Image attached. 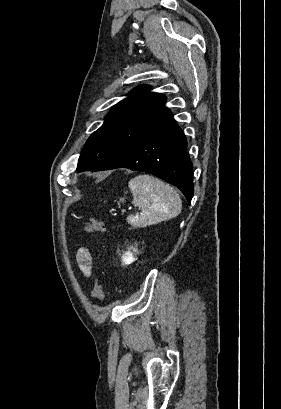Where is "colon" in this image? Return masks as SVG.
I'll use <instances>...</instances> for the list:
<instances>
[{
  "instance_id": "1",
  "label": "colon",
  "mask_w": 281,
  "mask_h": 409,
  "mask_svg": "<svg viewBox=\"0 0 281 409\" xmlns=\"http://www.w3.org/2000/svg\"><path fill=\"white\" fill-rule=\"evenodd\" d=\"M85 229L88 232L103 234L106 231V226L104 223L99 221L97 218L90 217L85 221ZM93 297L96 303H102L104 300V284L103 279L98 276L95 281Z\"/></svg>"
}]
</instances>
